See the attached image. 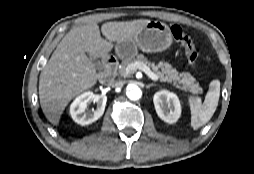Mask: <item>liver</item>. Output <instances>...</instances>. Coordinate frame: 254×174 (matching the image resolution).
Segmentation results:
<instances>
[{
    "mask_svg": "<svg viewBox=\"0 0 254 174\" xmlns=\"http://www.w3.org/2000/svg\"><path fill=\"white\" fill-rule=\"evenodd\" d=\"M150 20L107 22L101 26L106 39L101 38L96 22L72 29L58 44L39 78V99L46 118L54 125L68 103L93 87L98 79L95 65L86 53L103 57L121 42L135 36Z\"/></svg>",
    "mask_w": 254,
    "mask_h": 174,
    "instance_id": "obj_1",
    "label": "liver"
}]
</instances>
